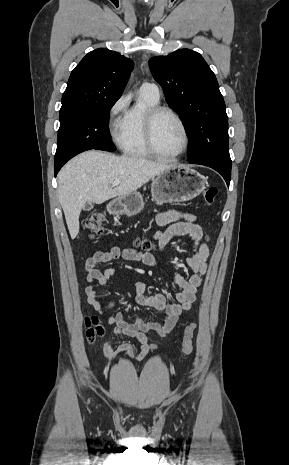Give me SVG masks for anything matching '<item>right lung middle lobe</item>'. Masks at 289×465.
I'll list each match as a JSON object with an SVG mask.
<instances>
[{
  "label": "right lung middle lobe",
  "instance_id": "dd1d6c3e",
  "mask_svg": "<svg viewBox=\"0 0 289 465\" xmlns=\"http://www.w3.org/2000/svg\"><path fill=\"white\" fill-rule=\"evenodd\" d=\"M115 100L99 102L86 108L60 111L57 150L54 162L69 160L90 149L113 151L108 115Z\"/></svg>",
  "mask_w": 289,
  "mask_h": 465
}]
</instances>
